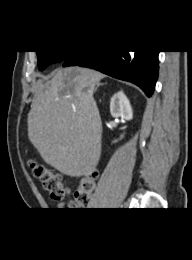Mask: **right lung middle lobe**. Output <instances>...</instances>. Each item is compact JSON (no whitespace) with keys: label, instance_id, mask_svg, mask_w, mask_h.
<instances>
[{"label":"right lung middle lobe","instance_id":"1","mask_svg":"<svg viewBox=\"0 0 192 260\" xmlns=\"http://www.w3.org/2000/svg\"><path fill=\"white\" fill-rule=\"evenodd\" d=\"M39 70H44L52 63L64 61L72 52L70 51H36Z\"/></svg>","mask_w":192,"mask_h":260}]
</instances>
